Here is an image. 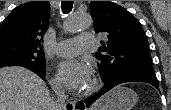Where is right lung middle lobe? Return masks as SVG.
<instances>
[{
  "label": "right lung middle lobe",
  "instance_id": "obj_1",
  "mask_svg": "<svg viewBox=\"0 0 171 110\" xmlns=\"http://www.w3.org/2000/svg\"><path fill=\"white\" fill-rule=\"evenodd\" d=\"M5 66H23L34 72L45 74V55L39 49L3 43L0 44V68Z\"/></svg>",
  "mask_w": 171,
  "mask_h": 110
}]
</instances>
